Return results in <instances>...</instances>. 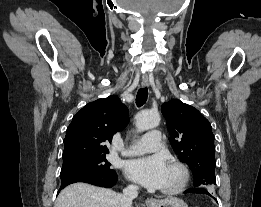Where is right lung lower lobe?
Instances as JSON below:
<instances>
[{"mask_svg":"<svg viewBox=\"0 0 261 207\" xmlns=\"http://www.w3.org/2000/svg\"><path fill=\"white\" fill-rule=\"evenodd\" d=\"M118 177L113 175H79L61 180V187L59 191L67 185L75 182H85L92 185L110 188L116 184Z\"/></svg>","mask_w":261,"mask_h":207,"instance_id":"right-lung-lower-lobe-1","label":"right lung lower lobe"}]
</instances>
